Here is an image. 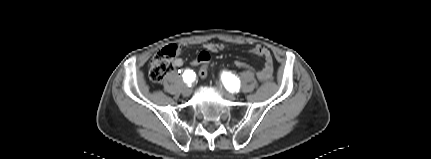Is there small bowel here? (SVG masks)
<instances>
[{"label":"small bowel","mask_w":431,"mask_h":159,"mask_svg":"<svg viewBox=\"0 0 431 159\" xmlns=\"http://www.w3.org/2000/svg\"><path fill=\"white\" fill-rule=\"evenodd\" d=\"M226 46L222 43H207L204 45V51L215 53L221 51ZM250 53L263 59V66L257 71L261 80L268 79L272 76L273 62L269 50L263 46L257 45L250 50ZM244 63V62H243ZM184 64L182 58L177 57L173 60L174 67H181Z\"/></svg>","instance_id":"small-bowel-1"}]
</instances>
